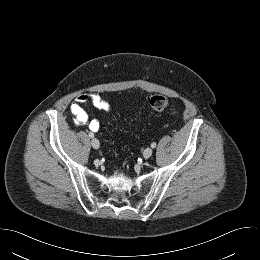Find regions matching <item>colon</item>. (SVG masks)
Listing matches in <instances>:
<instances>
[{
  "label": "colon",
  "instance_id": "5ec220e1",
  "mask_svg": "<svg viewBox=\"0 0 260 260\" xmlns=\"http://www.w3.org/2000/svg\"><path fill=\"white\" fill-rule=\"evenodd\" d=\"M150 107L156 112H162L166 109H174V104L166 96L154 95L149 99Z\"/></svg>",
  "mask_w": 260,
  "mask_h": 260
}]
</instances>
